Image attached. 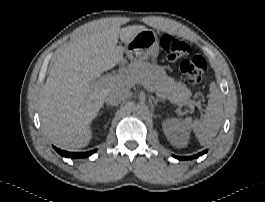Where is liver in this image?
I'll use <instances>...</instances> for the list:
<instances>
[{"instance_id":"1","label":"liver","mask_w":265,"mask_h":202,"mask_svg":"<svg viewBox=\"0 0 265 202\" xmlns=\"http://www.w3.org/2000/svg\"><path fill=\"white\" fill-rule=\"evenodd\" d=\"M142 25L120 28L108 20L86 25L84 33L57 54L40 93L41 126L50 141L65 150L85 147L92 139L90 124L108 90L116 84L94 86L93 80L122 61L125 45Z\"/></svg>"}]
</instances>
